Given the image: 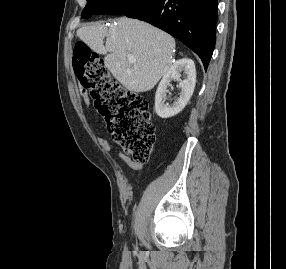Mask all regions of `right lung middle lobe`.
<instances>
[{"mask_svg": "<svg viewBox=\"0 0 286 269\" xmlns=\"http://www.w3.org/2000/svg\"><path fill=\"white\" fill-rule=\"evenodd\" d=\"M151 0H87L81 17L92 15L114 14L128 15L149 3Z\"/></svg>", "mask_w": 286, "mask_h": 269, "instance_id": "obj_1", "label": "right lung middle lobe"}]
</instances>
